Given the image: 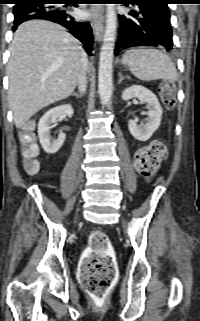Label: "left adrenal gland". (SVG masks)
Wrapping results in <instances>:
<instances>
[{
    "mask_svg": "<svg viewBox=\"0 0 200 321\" xmlns=\"http://www.w3.org/2000/svg\"><path fill=\"white\" fill-rule=\"evenodd\" d=\"M125 78L129 79V77H124L122 73H119V81L118 83L120 84Z\"/></svg>",
    "mask_w": 200,
    "mask_h": 321,
    "instance_id": "obj_1",
    "label": "left adrenal gland"
}]
</instances>
